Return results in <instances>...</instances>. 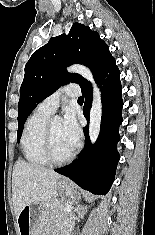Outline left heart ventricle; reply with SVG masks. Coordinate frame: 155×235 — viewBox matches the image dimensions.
<instances>
[{
    "mask_svg": "<svg viewBox=\"0 0 155 235\" xmlns=\"http://www.w3.org/2000/svg\"><path fill=\"white\" fill-rule=\"evenodd\" d=\"M51 137L53 153L57 158H63L72 151V148L67 144L63 137L61 122H51Z\"/></svg>",
    "mask_w": 155,
    "mask_h": 235,
    "instance_id": "obj_1",
    "label": "left heart ventricle"
}]
</instances>
